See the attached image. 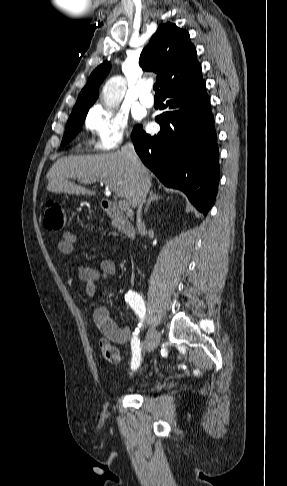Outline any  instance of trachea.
I'll return each instance as SVG.
<instances>
[{
	"instance_id": "1",
	"label": "trachea",
	"mask_w": 287,
	"mask_h": 486,
	"mask_svg": "<svg viewBox=\"0 0 287 486\" xmlns=\"http://www.w3.org/2000/svg\"><path fill=\"white\" fill-rule=\"evenodd\" d=\"M153 89L155 90V94L156 95H159V85H158V83H155L154 84Z\"/></svg>"
}]
</instances>
